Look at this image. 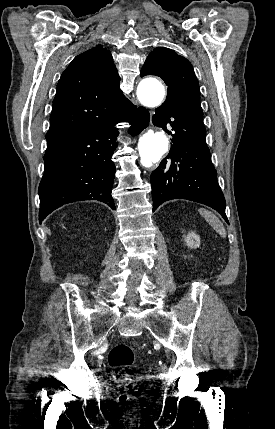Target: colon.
<instances>
[{
  "label": "colon",
  "mask_w": 275,
  "mask_h": 429,
  "mask_svg": "<svg viewBox=\"0 0 275 429\" xmlns=\"http://www.w3.org/2000/svg\"><path fill=\"white\" fill-rule=\"evenodd\" d=\"M108 362L113 370L114 378L123 381L127 391L119 396V402L121 404H133L135 397L132 393L140 390L141 383L138 380L130 379L126 373L127 369L134 363L132 348L126 344L114 346L109 352Z\"/></svg>",
  "instance_id": "colon-1"
}]
</instances>
